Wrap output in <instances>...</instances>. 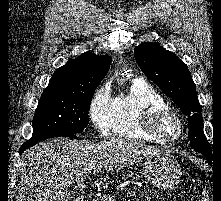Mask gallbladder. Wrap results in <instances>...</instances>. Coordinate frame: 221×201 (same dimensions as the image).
<instances>
[{"instance_id":"obj_1","label":"gallbladder","mask_w":221,"mask_h":201,"mask_svg":"<svg viewBox=\"0 0 221 201\" xmlns=\"http://www.w3.org/2000/svg\"><path fill=\"white\" fill-rule=\"evenodd\" d=\"M67 196L68 198H71L74 196V192L73 191H67Z\"/></svg>"}]
</instances>
